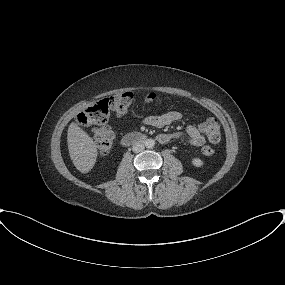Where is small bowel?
Masks as SVG:
<instances>
[{
  "label": "small bowel",
  "instance_id": "c3829d8e",
  "mask_svg": "<svg viewBox=\"0 0 285 285\" xmlns=\"http://www.w3.org/2000/svg\"><path fill=\"white\" fill-rule=\"evenodd\" d=\"M182 114L177 111H170L162 115H152L144 118L146 125L156 128L166 127L174 122L180 121ZM158 140L161 143L170 140H178L193 146H202L205 143V135L201 128L194 124H188L185 132H175L171 134H160Z\"/></svg>",
  "mask_w": 285,
  "mask_h": 285
}]
</instances>
